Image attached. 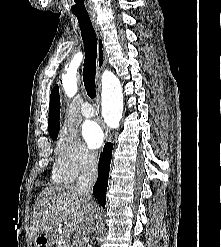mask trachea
<instances>
[{
	"instance_id": "3493384b",
	"label": "trachea",
	"mask_w": 221,
	"mask_h": 247,
	"mask_svg": "<svg viewBox=\"0 0 221 247\" xmlns=\"http://www.w3.org/2000/svg\"><path fill=\"white\" fill-rule=\"evenodd\" d=\"M77 17L81 36L85 49V60L83 68V81L87 95L90 98L96 96V58H97V37L90 17L87 14H74Z\"/></svg>"
}]
</instances>
